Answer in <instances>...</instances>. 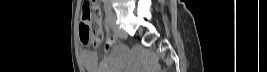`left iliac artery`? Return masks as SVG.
Returning a JSON list of instances; mask_svg holds the SVG:
<instances>
[{
    "label": "left iliac artery",
    "mask_w": 267,
    "mask_h": 72,
    "mask_svg": "<svg viewBox=\"0 0 267 72\" xmlns=\"http://www.w3.org/2000/svg\"><path fill=\"white\" fill-rule=\"evenodd\" d=\"M104 9L106 14V23L108 27H111V4L109 1L104 2Z\"/></svg>",
    "instance_id": "44dca946"
}]
</instances>
